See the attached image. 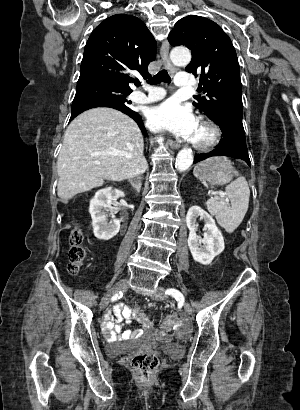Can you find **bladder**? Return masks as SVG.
Masks as SVG:
<instances>
[{"label":"bladder","mask_w":300,"mask_h":410,"mask_svg":"<svg viewBox=\"0 0 300 410\" xmlns=\"http://www.w3.org/2000/svg\"><path fill=\"white\" fill-rule=\"evenodd\" d=\"M181 347L182 345L180 343H171V344L162 346V349L164 351H167L175 355L177 353V350L180 349ZM126 349H127V343H123V342H109L106 345V350L114 356L119 355Z\"/></svg>","instance_id":"31cf9c89"}]
</instances>
